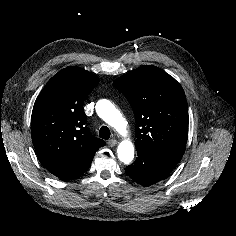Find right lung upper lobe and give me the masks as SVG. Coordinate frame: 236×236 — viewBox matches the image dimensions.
Instances as JSON below:
<instances>
[{"label":"right lung upper lobe","instance_id":"right-lung-upper-lobe-1","mask_svg":"<svg viewBox=\"0 0 236 236\" xmlns=\"http://www.w3.org/2000/svg\"><path fill=\"white\" fill-rule=\"evenodd\" d=\"M99 79L80 67L54 75L38 95L31 116V135L43 166L57 177L90 166L106 142L93 136L83 104Z\"/></svg>","mask_w":236,"mask_h":236}]
</instances>
